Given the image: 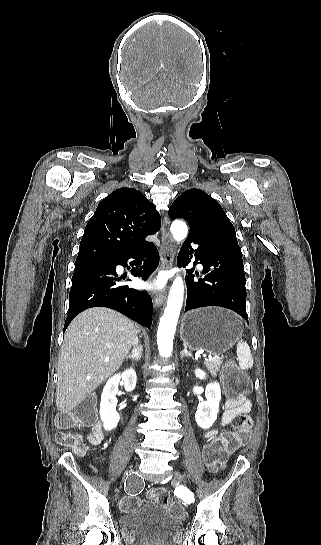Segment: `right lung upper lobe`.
I'll list each match as a JSON object with an SVG mask.
<instances>
[{"label": "right lung upper lobe", "instance_id": "obj_1", "mask_svg": "<svg viewBox=\"0 0 321 545\" xmlns=\"http://www.w3.org/2000/svg\"><path fill=\"white\" fill-rule=\"evenodd\" d=\"M160 226L158 211L141 192L117 189L99 203L87 223L75 265L125 256Z\"/></svg>", "mask_w": 321, "mask_h": 545}]
</instances>
